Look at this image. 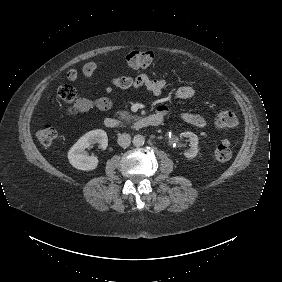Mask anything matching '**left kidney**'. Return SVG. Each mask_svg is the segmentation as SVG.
Segmentation results:
<instances>
[{
	"mask_svg": "<svg viewBox=\"0 0 282 282\" xmlns=\"http://www.w3.org/2000/svg\"><path fill=\"white\" fill-rule=\"evenodd\" d=\"M189 138L190 141V149L184 152L185 157L187 158H194L197 156L198 153V137L193 132H183L180 134V138Z\"/></svg>",
	"mask_w": 282,
	"mask_h": 282,
	"instance_id": "obj_1",
	"label": "left kidney"
}]
</instances>
